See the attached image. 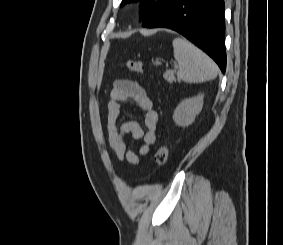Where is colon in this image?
<instances>
[{
	"label": "colon",
	"instance_id": "5ec220e1",
	"mask_svg": "<svg viewBox=\"0 0 283 245\" xmlns=\"http://www.w3.org/2000/svg\"><path fill=\"white\" fill-rule=\"evenodd\" d=\"M126 65L130 71L137 74H143V67L140 61L128 59L126 61ZM168 154L169 152L166 144H162L158 147L154 155V161L157 168H161L166 164L168 160Z\"/></svg>",
	"mask_w": 283,
	"mask_h": 245
}]
</instances>
